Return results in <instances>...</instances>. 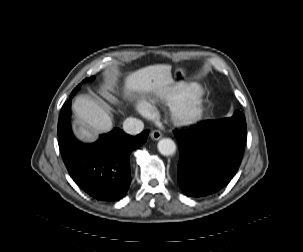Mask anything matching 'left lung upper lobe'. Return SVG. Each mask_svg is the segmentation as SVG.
<instances>
[{
	"label": "left lung upper lobe",
	"mask_w": 303,
	"mask_h": 252,
	"mask_svg": "<svg viewBox=\"0 0 303 252\" xmlns=\"http://www.w3.org/2000/svg\"><path fill=\"white\" fill-rule=\"evenodd\" d=\"M230 119H233V120H236V119H245V117H244V115L241 112L236 111L234 113V115Z\"/></svg>",
	"instance_id": "obj_1"
}]
</instances>
